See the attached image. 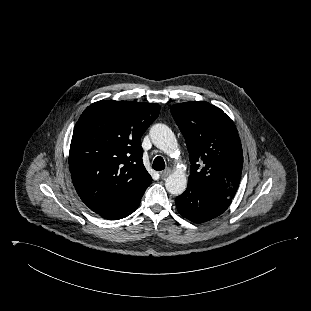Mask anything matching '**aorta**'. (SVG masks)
I'll return each mask as SVG.
<instances>
[{
	"label": "aorta",
	"instance_id": "762f6f07",
	"mask_svg": "<svg viewBox=\"0 0 311 311\" xmlns=\"http://www.w3.org/2000/svg\"><path fill=\"white\" fill-rule=\"evenodd\" d=\"M152 143L165 152L172 154L178 148L177 139L173 131L165 124H155L150 129ZM166 190L172 195H181L187 187V178L182 171H175L165 181Z\"/></svg>",
	"mask_w": 311,
	"mask_h": 311
}]
</instances>
